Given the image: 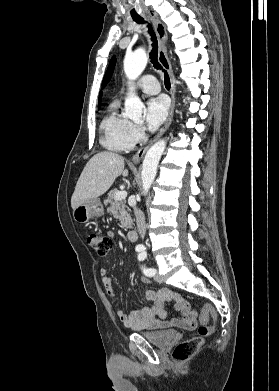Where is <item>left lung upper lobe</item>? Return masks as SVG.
<instances>
[{
	"label": "left lung upper lobe",
	"instance_id": "5c2ea615",
	"mask_svg": "<svg viewBox=\"0 0 279 391\" xmlns=\"http://www.w3.org/2000/svg\"><path fill=\"white\" fill-rule=\"evenodd\" d=\"M115 56L111 59L110 64L108 66V69L105 73L104 79H103V86L110 80L111 75L113 73L114 67H115Z\"/></svg>",
	"mask_w": 279,
	"mask_h": 391
}]
</instances>
